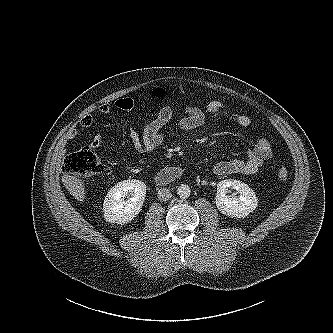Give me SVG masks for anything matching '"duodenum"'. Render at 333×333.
Wrapping results in <instances>:
<instances>
[{"label": "duodenum", "instance_id": "obj_1", "mask_svg": "<svg viewBox=\"0 0 333 333\" xmlns=\"http://www.w3.org/2000/svg\"><path fill=\"white\" fill-rule=\"evenodd\" d=\"M184 174L181 167H168L160 170L155 176V182L159 185H167L179 178Z\"/></svg>", "mask_w": 333, "mask_h": 333}]
</instances>
